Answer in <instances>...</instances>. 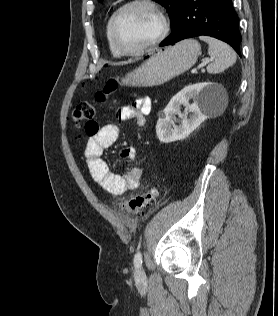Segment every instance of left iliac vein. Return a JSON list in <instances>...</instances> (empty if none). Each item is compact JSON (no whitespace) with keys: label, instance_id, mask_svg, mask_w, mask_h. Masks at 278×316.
<instances>
[{"label":"left iliac vein","instance_id":"4c4485c4","mask_svg":"<svg viewBox=\"0 0 278 316\" xmlns=\"http://www.w3.org/2000/svg\"><path fill=\"white\" fill-rule=\"evenodd\" d=\"M136 275H137L138 277H142V276H144V271H143L142 269H140V270H138V271L136 272Z\"/></svg>","mask_w":278,"mask_h":316}]
</instances>
